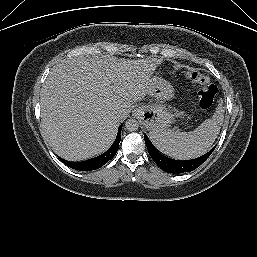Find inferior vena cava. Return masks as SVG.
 <instances>
[{
	"label": "inferior vena cava",
	"instance_id": "obj_1",
	"mask_svg": "<svg viewBox=\"0 0 257 257\" xmlns=\"http://www.w3.org/2000/svg\"><path fill=\"white\" fill-rule=\"evenodd\" d=\"M114 119H115V120H119V119H120V116H119V115H116V116H114Z\"/></svg>",
	"mask_w": 257,
	"mask_h": 257
}]
</instances>
